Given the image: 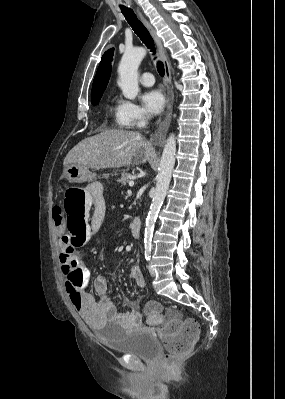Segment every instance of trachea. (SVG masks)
<instances>
[{
    "instance_id": "1",
    "label": "trachea",
    "mask_w": 285,
    "mask_h": 399,
    "mask_svg": "<svg viewBox=\"0 0 285 399\" xmlns=\"http://www.w3.org/2000/svg\"><path fill=\"white\" fill-rule=\"evenodd\" d=\"M122 14L125 16L127 22L130 24L137 36L142 40L147 48L153 52V55H155L156 49L154 47L153 39L146 27L140 22V20H138L134 11L132 9H123ZM157 71L160 76H164V65L160 61L157 62Z\"/></svg>"
}]
</instances>
